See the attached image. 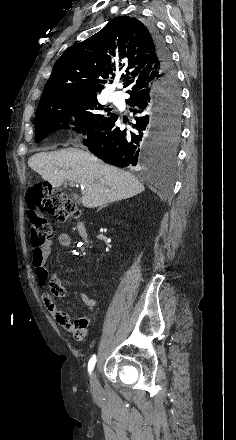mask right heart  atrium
<instances>
[{"label":"right heart atrium","instance_id":"right-heart-atrium-1","mask_svg":"<svg viewBox=\"0 0 236 440\" xmlns=\"http://www.w3.org/2000/svg\"><path fill=\"white\" fill-rule=\"evenodd\" d=\"M68 120L70 123L75 124L78 121V116L76 113H70L68 116Z\"/></svg>","mask_w":236,"mask_h":440}]
</instances>
